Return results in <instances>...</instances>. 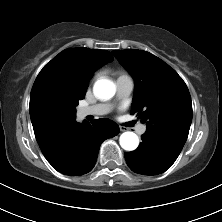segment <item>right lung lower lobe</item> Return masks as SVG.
Masks as SVG:
<instances>
[{"label":"right lung lower lobe","instance_id":"98d812e1","mask_svg":"<svg viewBox=\"0 0 222 222\" xmlns=\"http://www.w3.org/2000/svg\"><path fill=\"white\" fill-rule=\"evenodd\" d=\"M119 133L109 119L73 123L61 127L49 144L41 148L48 162L60 173L78 176L94 167L101 143Z\"/></svg>","mask_w":222,"mask_h":222}]
</instances>
